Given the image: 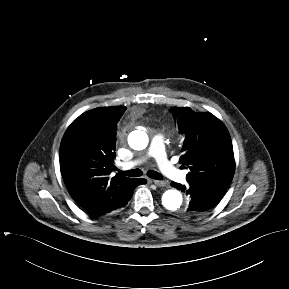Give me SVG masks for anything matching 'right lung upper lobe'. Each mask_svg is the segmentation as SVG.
<instances>
[{
    "instance_id": "cb5924a9",
    "label": "right lung upper lobe",
    "mask_w": 289,
    "mask_h": 289,
    "mask_svg": "<svg viewBox=\"0 0 289 289\" xmlns=\"http://www.w3.org/2000/svg\"><path fill=\"white\" fill-rule=\"evenodd\" d=\"M125 106L89 110L75 119L60 145V170L72 198L86 211L101 216L127 205L136 179L116 174L117 122Z\"/></svg>"
}]
</instances>
